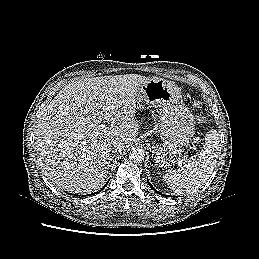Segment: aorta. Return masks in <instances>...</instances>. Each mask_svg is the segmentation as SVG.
Masks as SVG:
<instances>
[{
  "instance_id": "obj_1",
  "label": "aorta",
  "mask_w": 259,
  "mask_h": 259,
  "mask_svg": "<svg viewBox=\"0 0 259 259\" xmlns=\"http://www.w3.org/2000/svg\"><path fill=\"white\" fill-rule=\"evenodd\" d=\"M144 151L140 148H133L130 152H129V158L131 161L135 162V163H139L142 162L144 160Z\"/></svg>"
}]
</instances>
